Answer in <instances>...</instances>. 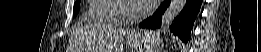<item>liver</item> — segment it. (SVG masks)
Here are the masks:
<instances>
[{
    "instance_id": "obj_1",
    "label": "liver",
    "mask_w": 261,
    "mask_h": 52,
    "mask_svg": "<svg viewBox=\"0 0 261 52\" xmlns=\"http://www.w3.org/2000/svg\"><path fill=\"white\" fill-rule=\"evenodd\" d=\"M91 33L97 35L101 43L94 48L93 50H106L109 47H113L115 44H120L123 42V37L125 31L121 28L113 27L112 25L107 24H94L91 25Z\"/></svg>"
}]
</instances>
